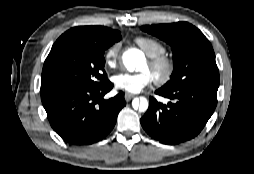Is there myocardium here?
Segmentation results:
<instances>
[{"label":"myocardium","mask_w":254,"mask_h":174,"mask_svg":"<svg viewBox=\"0 0 254 174\" xmlns=\"http://www.w3.org/2000/svg\"><path fill=\"white\" fill-rule=\"evenodd\" d=\"M147 63L154 71H160V73L154 77V81L158 86L166 85L172 79L175 71V63L170 56L161 54L149 57Z\"/></svg>","instance_id":"obj_1"}]
</instances>
